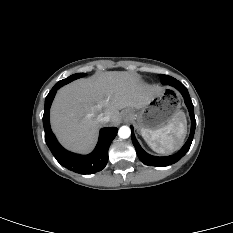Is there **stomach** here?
<instances>
[{
  "mask_svg": "<svg viewBox=\"0 0 233 233\" xmlns=\"http://www.w3.org/2000/svg\"><path fill=\"white\" fill-rule=\"evenodd\" d=\"M181 104L180 94L174 89L166 88L143 107L128 108L125 114L138 130L154 131L168 125Z\"/></svg>",
  "mask_w": 233,
  "mask_h": 233,
  "instance_id": "stomach-1",
  "label": "stomach"
}]
</instances>
